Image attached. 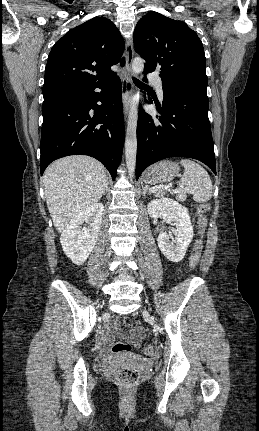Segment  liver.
I'll use <instances>...</instances> for the list:
<instances>
[{"mask_svg":"<svg viewBox=\"0 0 259 431\" xmlns=\"http://www.w3.org/2000/svg\"><path fill=\"white\" fill-rule=\"evenodd\" d=\"M107 184L105 167L92 157L74 155L53 162L43 185L55 229L62 232L74 216L96 204Z\"/></svg>","mask_w":259,"mask_h":431,"instance_id":"obj_1","label":"liver"}]
</instances>
